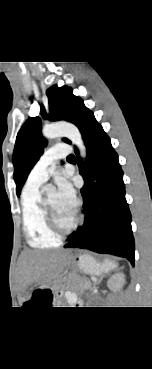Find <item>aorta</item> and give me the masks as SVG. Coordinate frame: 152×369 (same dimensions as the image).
Instances as JSON below:
<instances>
[{
	"label": "aorta",
	"instance_id": "762f6f07",
	"mask_svg": "<svg viewBox=\"0 0 152 369\" xmlns=\"http://www.w3.org/2000/svg\"><path fill=\"white\" fill-rule=\"evenodd\" d=\"M42 134L47 139H54L61 136L68 138L73 144L78 147L81 157L83 159L86 158V148L82 140L81 133L75 125L67 122H58L44 125L42 129ZM44 190L47 193H51L54 191V187L52 185H47L44 187Z\"/></svg>",
	"mask_w": 152,
	"mask_h": 369
}]
</instances>
